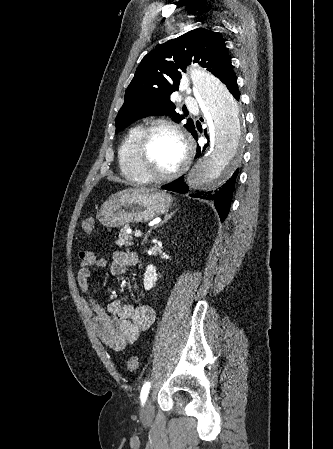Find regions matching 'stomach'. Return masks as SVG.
Wrapping results in <instances>:
<instances>
[{
  "mask_svg": "<svg viewBox=\"0 0 333 449\" xmlns=\"http://www.w3.org/2000/svg\"><path fill=\"white\" fill-rule=\"evenodd\" d=\"M172 204L165 192L133 191L123 193L104 202L97 219L104 226L122 227L129 223L148 222L164 214Z\"/></svg>",
  "mask_w": 333,
  "mask_h": 449,
  "instance_id": "0dacf381",
  "label": "stomach"
}]
</instances>
